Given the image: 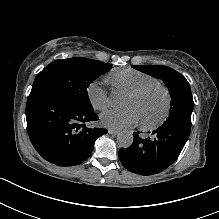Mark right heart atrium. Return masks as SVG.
<instances>
[{
    "label": "right heart atrium",
    "instance_id": "right-heart-atrium-1",
    "mask_svg": "<svg viewBox=\"0 0 219 219\" xmlns=\"http://www.w3.org/2000/svg\"><path fill=\"white\" fill-rule=\"evenodd\" d=\"M86 97L91 106L103 111L110 106V95L107 89L106 82L94 80L86 87Z\"/></svg>",
    "mask_w": 219,
    "mask_h": 219
}]
</instances>
